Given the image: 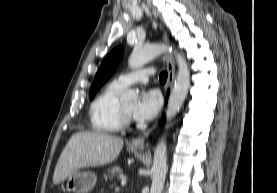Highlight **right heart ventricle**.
<instances>
[{
	"mask_svg": "<svg viewBox=\"0 0 277 193\" xmlns=\"http://www.w3.org/2000/svg\"><path fill=\"white\" fill-rule=\"evenodd\" d=\"M122 90L113 82L105 86L89 108L90 127L94 132L114 134L124 127L118 95Z\"/></svg>",
	"mask_w": 277,
	"mask_h": 193,
	"instance_id": "right-heart-ventricle-1",
	"label": "right heart ventricle"
}]
</instances>
